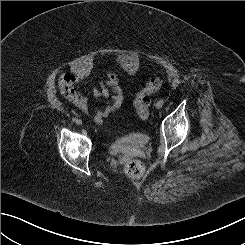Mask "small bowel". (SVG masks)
Listing matches in <instances>:
<instances>
[{
    "label": "small bowel",
    "instance_id": "small-bowel-1",
    "mask_svg": "<svg viewBox=\"0 0 245 245\" xmlns=\"http://www.w3.org/2000/svg\"><path fill=\"white\" fill-rule=\"evenodd\" d=\"M92 79V77L63 73L59 78V90L63 97L84 113L91 110L90 101L86 94L78 90V85ZM99 85L91 89L90 95L94 98L109 99L102 107L93 110L92 122L99 125L104 119L115 113L124 101V91L119 84L118 75L114 71L107 73L106 77H97Z\"/></svg>",
    "mask_w": 245,
    "mask_h": 245
}]
</instances>
